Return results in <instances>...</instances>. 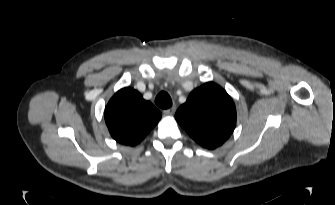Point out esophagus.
Here are the masks:
<instances>
[{"instance_id":"34e87169","label":"esophagus","mask_w":335,"mask_h":205,"mask_svg":"<svg viewBox=\"0 0 335 205\" xmlns=\"http://www.w3.org/2000/svg\"><path fill=\"white\" fill-rule=\"evenodd\" d=\"M175 111H176V107H171L169 109L164 110L163 113L169 116V115H173Z\"/></svg>"}]
</instances>
